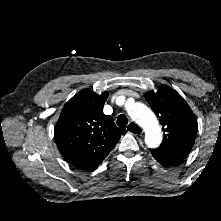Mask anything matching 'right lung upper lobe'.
<instances>
[{"mask_svg":"<svg viewBox=\"0 0 221 221\" xmlns=\"http://www.w3.org/2000/svg\"><path fill=\"white\" fill-rule=\"evenodd\" d=\"M107 97L108 92L98 95L81 90L65 104L56 123L54 137L58 149L77 168L98 167L127 132L103 113Z\"/></svg>","mask_w":221,"mask_h":221,"instance_id":"right-lung-upper-lobe-1","label":"right lung upper lobe"}]
</instances>
